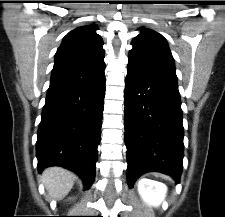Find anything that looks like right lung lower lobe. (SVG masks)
<instances>
[{
	"label": "right lung lower lobe",
	"instance_id": "obj_1",
	"mask_svg": "<svg viewBox=\"0 0 225 217\" xmlns=\"http://www.w3.org/2000/svg\"><path fill=\"white\" fill-rule=\"evenodd\" d=\"M105 77L83 86L49 91L37 133L38 170L62 166L75 171L85 189L93 183L100 142Z\"/></svg>",
	"mask_w": 225,
	"mask_h": 217
}]
</instances>
